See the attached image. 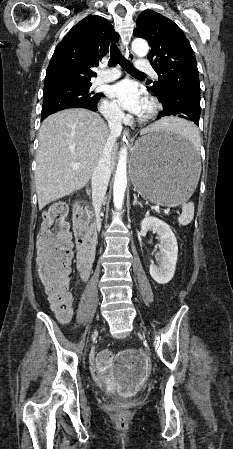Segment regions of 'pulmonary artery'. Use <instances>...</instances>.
<instances>
[{
	"label": "pulmonary artery",
	"mask_w": 233,
	"mask_h": 449,
	"mask_svg": "<svg viewBox=\"0 0 233 449\" xmlns=\"http://www.w3.org/2000/svg\"><path fill=\"white\" fill-rule=\"evenodd\" d=\"M136 67H137L138 69L142 70V71L151 73L152 76H153L154 78H157V74H156V73L154 72V70L151 68L150 64L147 63L146 61H144V60H139V61L136 63ZM120 75H121V73H120V71H119L118 69L112 68V69H110V70H105V71L101 72V73L97 76L95 82H96L97 84H103V83L112 82V81L118 79V78L120 77Z\"/></svg>",
	"instance_id": "pulmonary-artery-1"
}]
</instances>
